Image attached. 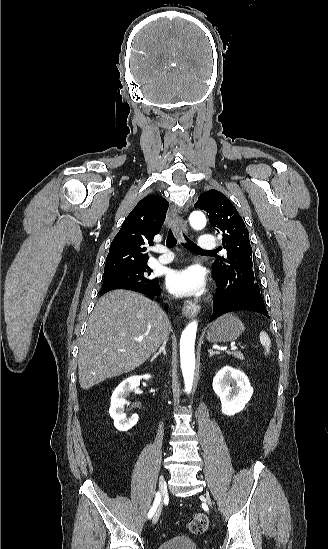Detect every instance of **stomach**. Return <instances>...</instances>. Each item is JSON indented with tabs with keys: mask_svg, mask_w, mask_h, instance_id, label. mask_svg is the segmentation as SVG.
<instances>
[{
	"mask_svg": "<svg viewBox=\"0 0 328 549\" xmlns=\"http://www.w3.org/2000/svg\"><path fill=\"white\" fill-rule=\"evenodd\" d=\"M243 331L242 321L232 313H226L209 325L206 337L209 343H228L236 341Z\"/></svg>",
	"mask_w": 328,
	"mask_h": 549,
	"instance_id": "0dacf381",
	"label": "stomach"
}]
</instances>
